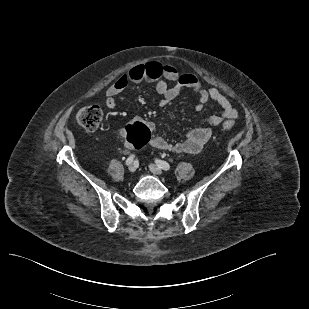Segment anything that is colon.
Listing matches in <instances>:
<instances>
[{
    "mask_svg": "<svg viewBox=\"0 0 309 309\" xmlns=\"http://www.w3.org/2000/svg\"><path fill=\"white\" fill-rule=\"evenodd\" d=\"M102 119V110L97 105L83 107L77 114L78 123L87 131H94L98 128ZM234 123L224 121L222 128L231 130ZM127 140L134 149H141L145 146L151 137L149 128L141 122L128 124L126 126Z\"/></svg>",
    "mask_w": 309,
    "mask_h": 309,
    "instance_id": "colon-1",
    "label": "colon"
}]
</instances>
